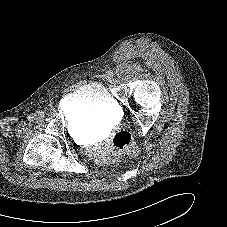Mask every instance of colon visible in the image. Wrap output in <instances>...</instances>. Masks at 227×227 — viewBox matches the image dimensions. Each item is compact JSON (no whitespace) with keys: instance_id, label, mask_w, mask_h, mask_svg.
<instances>
[{"instance_id":"colon-1","label":"colon","mask_w":227,"mask_h":227,"mask_svg":"<svg viewBox=\"0 0 227 227\" xmlns=\"http://www.w3.org/2000/svg\"><path fill=\"white\" fill-rule=\"evenodd\" d=\"M111 150L114 153L126 152L131 156L137 153V148L133 144L131 135L125 131H121L113 137Z\"/></svg>"}]
</instances>
